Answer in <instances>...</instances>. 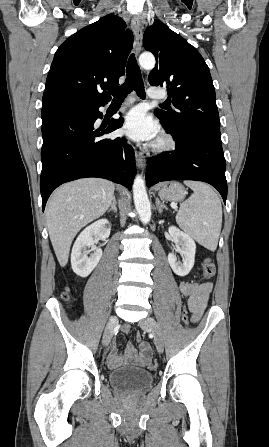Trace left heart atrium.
Returning a JSON list of instances; mask_svg holds the SVG:
<instances>
[{"label":"left heart atrium","instance_id":"1","mask_svg":"<svg viewBox=\"0 0 269 447\" xmlns=\"http://www.w3.org/2000/svg\"><path fill=\"white\" fill-rule=\"evenodd\" d=\"M122 132L135 141H150L158 137V123L141 107L127 111L122 118Z\"/></svg>","mask_w":269,"mask_h":447}]
</instances>
